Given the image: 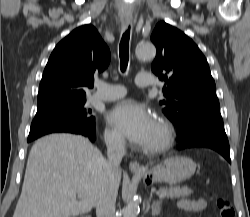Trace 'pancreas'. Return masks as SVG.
<instances>
[{
    "mask_svg": "<svg viewBox=\"0 0 250 217\" xmlns=\"http://www.w3.org/2000/svg\"><path fill=\"white\" fill-rule=\"evenodd\" d=\"M157 193H166V196L168 198L174 199V198L190 196L193 193V191L187 187H170V188L161 187L159 188Z\"/></svg>",
    "mask_w": 250,
    "mask_h": 217,
    "instance_id": "pancreas-1",
    "label": "pancreas"
}]
</instances>
